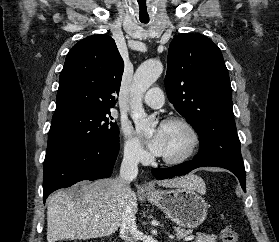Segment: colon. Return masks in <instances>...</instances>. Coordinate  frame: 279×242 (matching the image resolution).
Segmentation results:
<instances>
[{
  "instance_id": "5ec220e1",
  "label": "colon",
  "mask_w": 279,
  "mask_h": 242,
  "mask_svg": "<svg viewBox=\"0 0 279 242\" xmlns=\"http://www.w3.org/2000/svg\"><path fill=\"white\" fill-rule=\"evenodd\" d=\"M223 242H240L239 236L232 226L226 225L221 229L220 232ZM67 242V241H61Z\"/></svg>"
}]
</instances>
